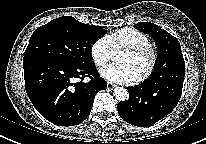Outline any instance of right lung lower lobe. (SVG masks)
<instances>
[{
    "label": "right lung lower lobe",
    "mask_w": 206,
    "mask_h": 144,
    "mask_svg": "<svg viewBox=\"0 0 206 144\" xmlns=\"http://www.w3.org/2000/svg\"><path fill=\"white\" fill-rule=\"evenodd\" d=\"M27 95L36 110L49 122L73 126L90 114L96 93L105 90L106 81L94 63L74 66L49 58L23 59ZM84 77L90 81L82 82ZM76 78L81 81L74 83Z\"/></svg>",
    "instance_id": "obj_1"
}]
</instances>
